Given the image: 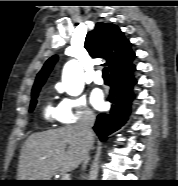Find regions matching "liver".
Returning <instances> with one entry per match:
<instances>
[{
  "label": "liver",
  "instance_id": "liver-1",
  "mask_svg": "<svg viewBox=\"0 0 178 186\" xmlns=\"http://www.w3.org/2000/svg\"><path fill=\"white\" fill-rule=\"evenodd\" d=\"M89 147L78 125L34 133L21 149L17 178L50 180L59 172L72 171L81 163Z\"/></svg>",
  "mask_w": 178,
  "mask_h": 186
}]
</instances>
